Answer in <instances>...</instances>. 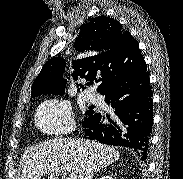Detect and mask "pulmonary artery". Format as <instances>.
<instances>
[{"label": "pulmonary artery", "mask_w": 183, "mask_h": 179, "mask_svg": "<svg viewBox=\"0 0 183 179\" xmlns=\"http://www.w3.org/2000/svg\"><path fill=\"white\" fill-rule=\"evenodd\" d=\"M88 99L92 102V103H96V104H100L102 103V96L97 94V93H90L88 95Z\"/></svg>", "instance_id": "pulmonary-artery-1"}]
</instances>
